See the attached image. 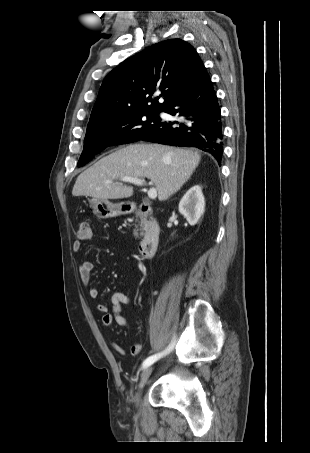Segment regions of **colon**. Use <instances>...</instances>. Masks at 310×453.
<instances>
[{"mask_svg":"<svg viewBox=\"0 0 310 453\" xmlns=\"http://www.w3.org/2000/svg\"><path fill=\"white\" fill-rule=\"evenodd\" d=\"M78 235L81 239H88L91 237V228L88 223H81L79 226Z\"/></svg>","mask_w":310,"mask_h":453,"instance_id":"1","label":"colon"}]
</instances>
